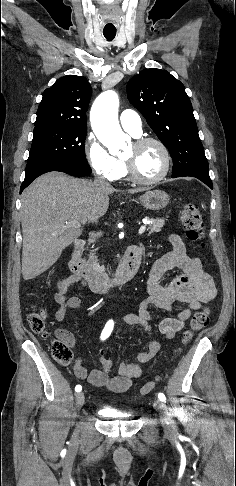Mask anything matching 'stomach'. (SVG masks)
Instances as JSON below:
<instances>
[{"mask_svg": "<svg viewBox=\"0 0 236 486\" xmlns=\"http://www.w3.org/2000/svg\"><path fill=\"white\" fill-rule=\"evenodd\" d=\"M139 200L146 209L158 211L169 204L170 197L165 191L152 190L147 191Z\"/></svg>", "mask_w": 236, "mask_h": 486, "instance_id": "1", "label": "stomach"}]
</instances>
